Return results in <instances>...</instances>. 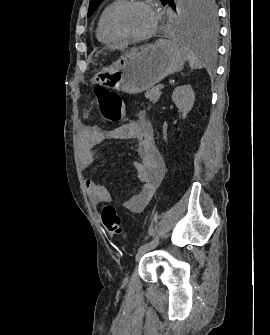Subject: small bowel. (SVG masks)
Here are the masks:
<instances>
[{
    "instance_id": "small-bowel-1",
    "label": "small bowel",
    "mask_w": 270,
    "mask_h": 335,
    "mask_svg": "<svg viewBox=\"0 0 270 335\" xmlns=\"http://www.w3.org/2000/svg\"><path fill=\"white\" fill-rule=\"evenodd\" d=\"M88 116V111L84 112ZM81 140L80 158L84 165L94 162L93 149L102 137L101 130L93 125H81L79 132ZM118 138L135 140L139 160L133 162L137 178L142 182L139 190L119 201L120 205L133 213L144 210L160 185L165 171L163 160L158 155L154 139L153 128L149 121L141 118L118 128ZM85 187L94 205L110 203L112 201L109 190L92 179H86Z\"/></svg>"
}]
</instances>
